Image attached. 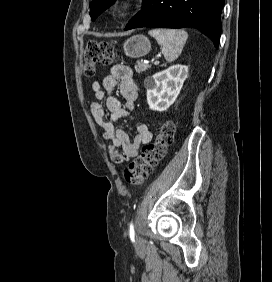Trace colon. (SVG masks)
I'll use <instances>...</instances> for the list:
<instances>
[{"instance_id": "1", "label": "colon", "mask_w": 272, "mask_h": 282, "mask_svg": "<svg viewBox=\"0 0 272 282\" xmlns=\"http://www.w3.org/2000/svg\"><path fill=\"white\" fill-rule=\"evenodd\" d=\"M115 59L112 45L107 42L90 41L84 52L85 75L95 74L96 64H111ZM174 138V126L170 122L161 125L156 139L144 146L143 152L124 171L128 184H142L164 158Z\"/></svg>"}]
</instances>
